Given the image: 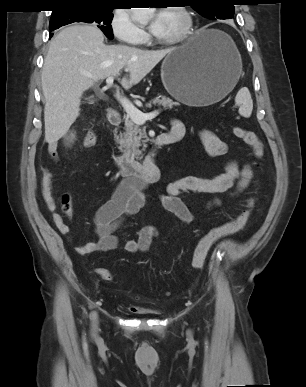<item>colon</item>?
I'll return each mask as SVG.
<instances>
[{"label": "colon", "mask_w": 306, "mask_h": 387, "mask_svg": "<svg viewBox=\"0 0 306 387\" xmlns=\"http://www.w3.org/2000/svg\"><path fill=\"white\" fill-rule=\"evenodd\" d=\"M233 134L242 140L246 145L251 147L254 157L255 165H260V159L263 156V145L258 138V136L250 130L242 128L240 126L232 127ZM97 144V136L94 133H88L83 139V146L85 148H92ZM62 206L65 213L70 215L72 213V202L71 198L65 195L62 199ZM254 206V200L250 199L248 201L247 207L234 219L224 223L223 225L217 226L211 229L207 234L202 236L193 250L191 265L195 270L202 269L207 254L212 247V245L218 240L227 237L229 235L235 234L240 231L248 222L252 208ZM97 274L104 280L111 281L113 280L112 273L105 268H98L96 270Z\"/></svg>", "instance_id": "1"}]
</instances>
